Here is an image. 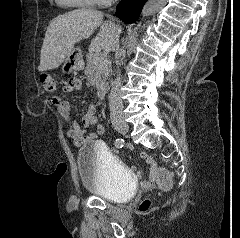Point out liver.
<instances>
[{"mask_svg": "<svg viewBox=\"0 0 240 238\" xmlns=\"http://www.w3.org/2000/svg\"><path fill=\"white\" fill-rule=\"evenodd\" d=\"M99 26L98 34L91 41L90 51L117 50L122 29L110 21L103 22L101 11L77 9L54 18L46 30L38 70L58 68L72 52L74 45L89 38Z\"/></svg>", "mask_w": 240, "mask_h": 238, "instance_id": "obj_1", "label": "liver"}]
</instances>
